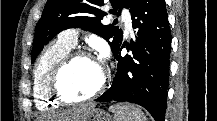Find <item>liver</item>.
I'll return each mask as SVG.
<instances>
[{
	"label": "liver",
	"mask_w": 217,
	"mask_h": 121,
	"mask_svg": "<svg viewBox=\"0 0 217 121\" xmlns=\"http://www.w3.org/2000/svg\"><path fill=\"white\" fill-rule=\"evenodd\" d=\"M91 111L90 108H84L81 110L80 115L77 117V119H81L83 121V118ZM71 116H69L68 113H64V115L58 116L59 121H66L69 120Z\"/></svg>",
	"instance_id": "obj_1"
}]
</instances>
